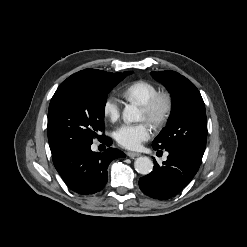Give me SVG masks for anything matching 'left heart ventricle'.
<instances>
[{"label":"left heart ventricle","mask_w":247,"mask_h":247,"mask_svg":"<svg viewBox=\"0 0 247 247\" xmlns=\"http://www.w3.org/2000/svg\"><path fill=\"white\" fill-rule=\"evenodd\" d=\"M141 118L142 119H146V114H145V112L143 110H141Z\"/></svg>","instance_id":"1"}]
</instances>
